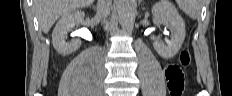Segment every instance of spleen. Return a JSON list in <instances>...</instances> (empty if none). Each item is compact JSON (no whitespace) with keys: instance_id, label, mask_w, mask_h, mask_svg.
<instances>
[{"instance_id":"3e777b00","label":"spleen","mask_w":232,"mask_h":96,"mask_svg":"<svg viewBox=\"0 0 232 96\" xmlns=\"http://www.w3.org/2000/svg\"><path fill=\"white\" fill-rule=\"evenodd\" d=\"M180 9L191 19H197L201 15V0H176Z\"/></svg>"}]
</instances>
